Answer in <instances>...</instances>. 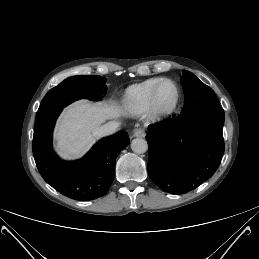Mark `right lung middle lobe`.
I'll use <instances>...</instances> for the list:
<instances>
[{
	"mask_svg": "<svg viewBox=\"0 0 259 259\" xmlns=\"http://www.w3.org/2000/svg\"><path fill=\"white\" fill-rule=\"evenodd\" d=\"M105 79L99 76H72L52 88L43 98L36 118L64 108L68 104L81 98L101 100L106 92Z\"/></svg>",
	"mask_w": 259,
	"mask_h": 259,
	"instance_id": "right-lung-middle-lobe-1",
	"label": "right lung middle lobe"
}]
</instances>
